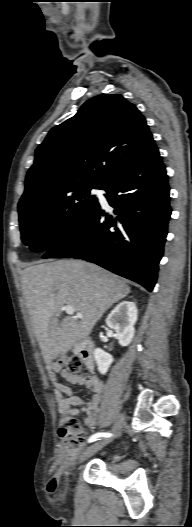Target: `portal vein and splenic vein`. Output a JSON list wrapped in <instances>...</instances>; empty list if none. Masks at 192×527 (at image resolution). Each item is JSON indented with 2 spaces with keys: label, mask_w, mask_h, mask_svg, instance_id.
Wrapping results in <instances>:
<instances>
[{
  "label": "portal vein and splenic vein",
  "mask_w": 192,
  "mask_h": 527,
  "mask_svg": "<svg viewBox=\"0 0 192 527\" xmlns=\"http://www.w3.org/2000/svg\"><path fill=\"white\" fill-rule=\"evenodd\" d=\"M63 310L68 314V315H73L74 314V308L70 305H66L63 307ZM76 318H83V315L81 313H76L75 315Z\"/></svg>",
  "instance_id": "1"
}]
</instances>
